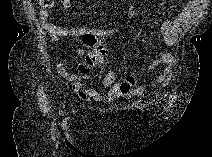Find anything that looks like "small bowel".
<instances>
[{"instance_id":"obj_1","label":"small bowel","mask_w":212,"mask_h":157,"mask_svg":"<svg viewBox=\"0 0 212 157\" xmlns=\"http://www.w3.org/2000/svg\"><path fill=\"white\" fill-rule=\"evenodd\" d=\"M61 6L64 11H69L72 7L71 0H62ZM200 3L197 1L186 2L171 20H166L161 25V32L164 43L168 46L174 45L178 41L181 32L190 24L192 19L198 13ZM40 22L48 34L49 43L54 45L59 42L62 37L84 36L90 34L100 38L110 37L116 32V27L108 29L75 27L64 28L48 21V12L41 10L39 13ZM62 48L68 52H72L81 56L83 51L70 44H64ZM159 65H164L165 69L158 77L159 83H165L169 79L174 66V58L170 53H163L159 57L153 59L147 66V71L151 72ZM57 73L60 77L72 83L74 91L84 100L89 102H109L117 97L130 96L133 93H140L142 88L137 86L134 76H128L124 80L116 78V72L109 70L103 78V85L107 89L105 94L99 91L85 87L83 82L89 77L86 74H70L67 70V63L59 61L56 65Z\"/></svg>"}]
</instances>
